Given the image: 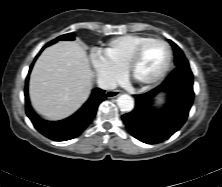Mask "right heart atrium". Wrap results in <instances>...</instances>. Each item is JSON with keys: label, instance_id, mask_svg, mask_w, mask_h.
<instances>
[{"label": "right heart atrium", "instance_id": "d8ad5b80", "mask_svg": "<svg viewBox=\"0 0 222 187\" xmlns=\"http://www.w3.org/2000/svg\"><path fill=\"white\" fill-rule=\"evenodd\" d=\"M90 60L98 80L102 85H112L119 79L121 70L100 53L92 52Z\"/></svg>", "mask_w": 222, "mask_h": 187}]
</instances>
